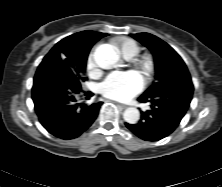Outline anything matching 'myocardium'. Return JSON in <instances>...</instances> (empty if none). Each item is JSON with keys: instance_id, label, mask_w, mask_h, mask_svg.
Listing matches in <instances>:
<instances>
[{"instance_id": "obj_1", "label": "myocardium", "mask_w": 222, "mask_h": 187, "mask_svg": "<svg viewBox=\"0 0 222 187\" xmlns=\"http://www.w3.org/2000/svg\"><path fill=\"white\" fill-rule=\"evenodd\" d=\"M136 65L146 75H151L154 71V62L151 57L143 56L136 60Z\"/></svg>"}]
</instances>
